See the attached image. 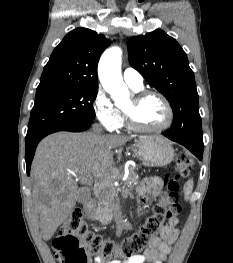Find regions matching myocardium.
I'll return each instance as SVG.
<instances>
[{
	"label": "myocardium",
	"instance_id": "obj_1",
	"mask_svg": "<svg viewBox=\"0 0 233 263\" xmlns=\"http://www.w3.org/2000/svg\"><path fill=\"white\" fill-rule=\"evenodd\" d=\"M148 96H155L162 101V103L166 109V112H167L166 121L162 125L157 126V127L140 126L135 122V120L132 116L131 110L124 109L123 113L125 116L127 127L130 130H133L135 132H142V133L161 132V131L168 129L174 121V111H173V108H172L169 100L162 93L155 91V90L137 91L132 96V107H136L144 98H146Z\"/></svg>",
	"mask_w": 233,
	"mask_h": 263
}]
</instances>
